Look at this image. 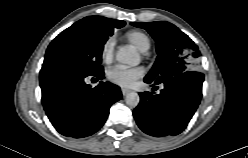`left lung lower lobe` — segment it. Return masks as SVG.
Masks as SVG:
<instances>
[{"label":"left lung lower lobe","instance_id":"1","mask_svg":"<svg viewBox=\"0 0 248 158\" xmlns=\"http://www.w3.org/2000/svg\"><path fill=\"white\" fill-rule=\"evenodd\" d=\"M204 75L186 71L164 82L158 95L140 93L133 115L140 129L154 137L175 136L188 125L202 96ZM149 84L157 83L144 78Z\"/></svg>","mask_w":248,"mask_h":158}]
</instances>
